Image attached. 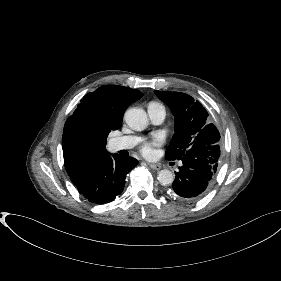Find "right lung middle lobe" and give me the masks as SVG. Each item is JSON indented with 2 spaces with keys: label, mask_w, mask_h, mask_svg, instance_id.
<instances>
[{
  "label": "right lung middle lobe",
  "mask_w": 281,
  "mask_h": 281,
  "mask_svg": "<svg viewBox=\"0 0 281 281\" xmlns=\"http://www.w3.org/2000/svg\"><path fill=\"white\" fill-rule=\"evenodd\" d=\"M111 129L97 123L87 111L73 113L64 126L62 143L74 156L86 157L105 151Z\"/></svg>",
  "instance_id": "dd1d6c3e"
}]
</instances>
